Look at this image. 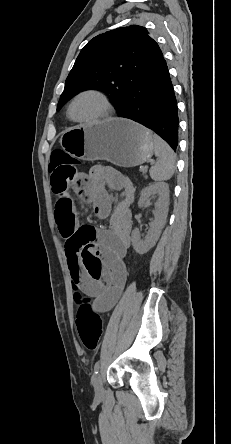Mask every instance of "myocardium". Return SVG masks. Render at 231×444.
Returning a JSON list of instances; mask_svg holds the SVG:
<instances>
[{
    "instance_id": "f54148a6",
    "label": "myocardium",
    "mask_w": 231,
    "mask_h": 444,
    "mask_svg": "<svg viewBox=\"0 0 231 444\" xmlns=\"http://www.w3.org/2000/svg\"><path fill=\"white\" fill-rule=\"evenodd\" d=\"M86 94H93V95H96L97 97H99L101 99V101L103 102L104 110L101 114H99L98 116H96L92 119H77L73 116V113H72L73 105L79 97L86 95ZM112 112H113V106H112V103H111L109 97L103 91H101L99 89H95V88H89V89H85V90L80 91L72 98V100L70 101L69 106H68V115H69L70 119L74 122L83 123V124H93V123L101 122V121L107 119L108 117H110Z\"/></svg>"
}]
</instances>
